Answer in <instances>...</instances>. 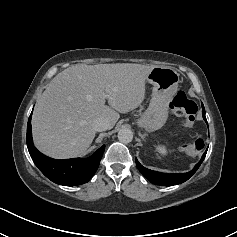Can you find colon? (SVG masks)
Here are the masks:
<instances>
[{"instance_id":"1","label":"colon","mask_w":237,"mask_h":237,"mask_svg":"<svg viewBox=\"0 0 237 237\" xmlns=\"http://www.w3.org/2000/svg\"><path fill=\"white\" fill-rule=\"evenodd\" d=\"M169 108L175 116L183 119V126L190 127L195 119V115L198 111L196 103L190 100L186 94L182 91L176 93L172 98ZM204 141L202 139H196L191 143L184 146V150L187 153L197 155L200 154L204 149Z\"/></svg>"}]
</instances>
